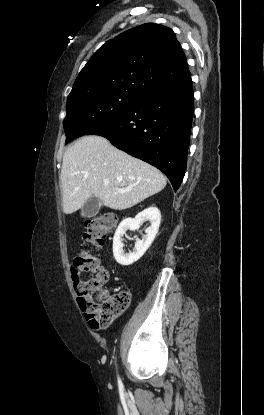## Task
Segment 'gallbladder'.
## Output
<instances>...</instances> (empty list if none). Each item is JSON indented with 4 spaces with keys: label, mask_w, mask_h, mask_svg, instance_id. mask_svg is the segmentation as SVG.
Instances as JSON below:
<instances>
[{
    "label": "gallbladder",
    "mask_w": 264,
    "mask_h": 415,
    "mask_svg": "<svg viewBox=\"0 0 264 415\" xmlns=\"http://www.w3.org/2000/svg\"><path fill=\"white\" fill-rule=\"evenodd\" d=\"M102 207V202L99 198L92 196L90 197L84 206L81 208V215L83 217H94L98 214L100 208Z\"/></svg>",
    "instance_id": "bac80fb5"
}]
</instances>
